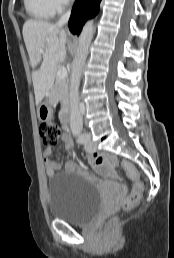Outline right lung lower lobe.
<instances>
[{"label": "right lung lower lobe", "mask_w": 174, "mask_h": 258, "mask_svg": "<svg viewBox=\"0 0 174 258\" xmlns=\"http://www.w3.org/2000/svg\"><path fill=\"white\" fill-rule=\"evenodd\" d=\"M101 0H76L69 20V29L79 35L88 18L94 17L100 9Z\"/></svg>", "instance_id": "right-lung-lower-lobe-1"}]
</instances>
